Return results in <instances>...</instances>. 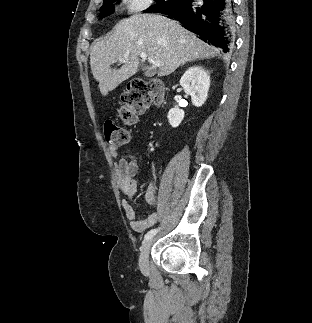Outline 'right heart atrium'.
Masks as SVG:
<instances>
[{"label":"right heart atrium","mask_w":312,"mask_h":323,"mask_svg":"<svg viewBox=\"0 0 312 323\" xmlns=\"http://www.w3.org/2000/svg\"><path fill=\"white\" fill-rule=\"evenodd\" d=\"M146 5H157L158 0H145ZM118 5H127L128 9H133L134 13H147V6L144 0H118Z\"/></svg>","instance_id":"d8ad5b80"}]
</instances>
